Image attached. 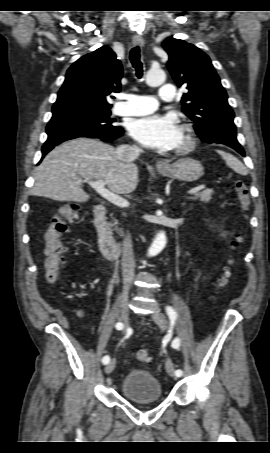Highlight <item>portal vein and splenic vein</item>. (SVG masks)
I'll use <instances>...</instances> for the list:
<instances>
[{
	"label": "portal vein and splenic vein",
	"instance_id": "portal-vein-and-splenic-vein-1",
	"mask_svg": "<svg viewBox=\"0 0 270 453\" xmlns=\"http://www.w3.org/2000/svg\"><path fill=\"white\" fill-rule=\"evenodd\" d=\"M88 184L104 199L109 201L110 203L120 207V208H127L129 206V202L125 200L124 198L120 197L117 194H114L113 192H110L105 188V182L103 180H97V181H92L88 180ZM205 185H199L196 186L188 191V194H195L199 192L200 190L204 189Z\"/></svg>",
	"mask_w": 270,
	"mask_h": 453
}]
</instances>
